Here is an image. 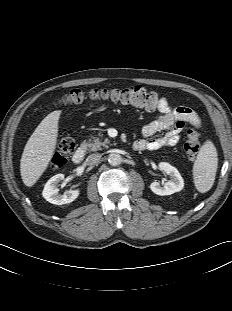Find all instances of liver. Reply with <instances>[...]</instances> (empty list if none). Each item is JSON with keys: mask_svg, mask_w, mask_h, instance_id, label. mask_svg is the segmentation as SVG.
<instances>
[{"mask_svg": "<svg viewBox=\"0 0 232 311\" xmlns=\"http://www.w3.org/2000/svg\"><path fill=\"white\" fill-rule=\"evenodd\" d=\"M61 110L48 114L27 141L21 161L20 173L23 183L32 187L47 169L54 154L58 122Z\"/></svg>", "mask_w": 232, "mask_h": 311, "instance_id": "liver-1", "label": "liver"}]
</instances>
